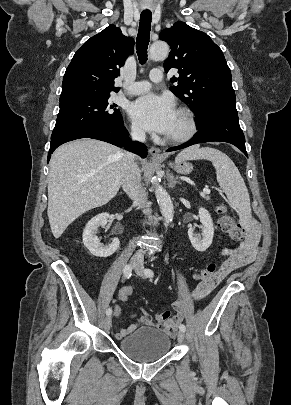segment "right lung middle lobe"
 Masks as SVG:
<instances>
[{"label": "right lung middle lobe", "instance_id": "right-lung-middle-lobe-1", "mask_svg": "<svg viewBox=\"0 0 291 405\" xmlns=\"http://www.w3.org/2000/svg\"><path fill=\"white\" fill-rule=\"evenodd\" d=\"M110 96L75 98L60 101L51 139L82 128H107L122 121L116 104L108 103Z\"/></svg>", "mask_w": 291, "mask_h": 405}]
</instances>
